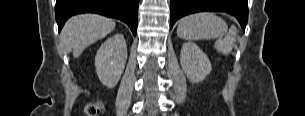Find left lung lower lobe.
<instances>
[{"label": "left lung lower lobe", "mask_w": 305, "mask_h": 116, "mask_svg": "<svg viewBox=\"0 0 305 116\" xmlns=\"http://www.w3.org/2000/svg\"><path fill=\"white\" fill-rule=\"evenodd\" d=\"M200 11L227 12L235 16L245 30L248 20L247 0H171L170 28L179 18Z\"/></svg>", "instance_id": "left-lung-lower-lobe-1"}]
</instances>
